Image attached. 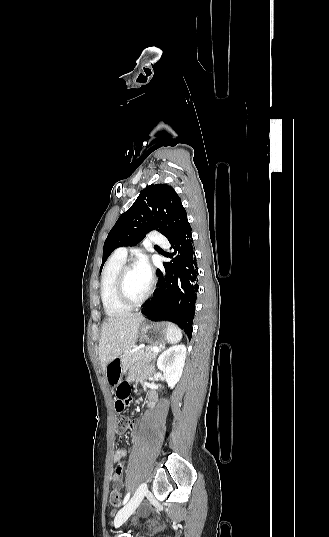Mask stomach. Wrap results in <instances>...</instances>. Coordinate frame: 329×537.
I'll return each instance as SVG.
<instances>
[{
  "mask_svg": "<svg viewBox=\"0 0 329 537\" xmlns=\"http://www.w3.org/2000/svg\"><path fill=\"white\" fill-rule=\"evenodd\" d=\"M168 324L165 322L150 323L142 327L140 336L142 339L153 345L164 344L167 340ZM106 380L109 385L113 386L121 381L122 364L119 357L112 360L106 367Z\"/></svg>",
  "mask_w": 329,
  "mask_h": 537,
  "instance_id": "0dacf381",
  "label": "stomach"
}]
</instances>
